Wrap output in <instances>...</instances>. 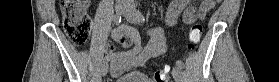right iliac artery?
<instances>
[{
    "mask_svg": "<svg viewBox=\"0 0 279 82\" xmlns=\"http://www.w3.org/2000/svg\"><path fill=\"white\" fill-rule=\"evenodd\" d=\"M113 21H114V23H115L116 25H119L120 22H121V15L118 14V13H116V14L114 15ZM103 62H104V63H105V62H106V63L108 62V57H107V56H105V57L103 58Z\"/></svg>",
    "mask_w": 279,
    "mask_h": 82,
    "instance_id": "82829eb1",
    "label": "right iliac artery"
}]
</instances>
